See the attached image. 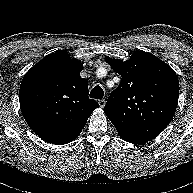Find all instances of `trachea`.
Segmentation results:
<instances>
[{"label": "trachea", "instance_id": "obj_1", "mask_svg": "<svg viewBox=\"0 0 193 193\" xmlns=\"http://www.w3.org/2000/svg\"><path fill=\"white\" fill-rule=\"evenodd\" d=\"M103 95H104V91L103 89L101 88V86L97 85L95 86L91 93H90V98H93V99H102L103 98Z\"/></svg>", "mask_w": 193, "mask_h": 193}]
</instances>
